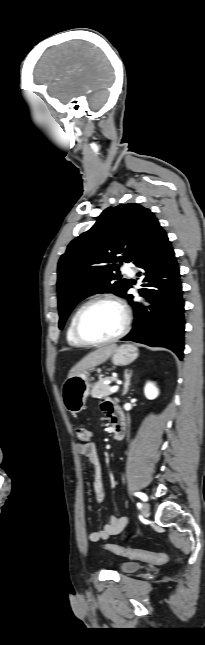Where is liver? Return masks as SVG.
I'll list each match as a JSON object with an SVG mask.
<instances>
[{
  "mask_svg": "<svg viewBox=\"0 0 205 645\" xmlns=\"http://www.w3.org/2000/svg\"><path fill=\"white\" fill-rule=\"evenodd\" d=\"M117 346L111 344L108 346H103L97 350L89 353L81 361H79L69 372L68 378L78 375L87 370H92L94 367L104 363L111 354L116 350Z\"/></svg>",
  "mask_w": 205,
  "mask_h": 645,
  "instance_id": "6515ba94",
  "label": "liver"
}]
</instances>
